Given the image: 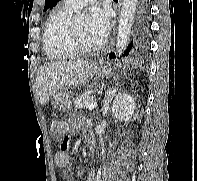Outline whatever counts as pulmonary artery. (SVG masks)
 I'll return each instance as SVG.
<instances>
[{"instance_id": "1", "label": "pulmonary artery", "mask_w": 197, "mask_h": 181, "mask_svg": "<svg viewBox=\"0 0 197 181\" xmlns=\"http://www.w3.org/2000/svg\"><path fill=\"white\" fill-rule=\"evenodd\" d=\"M94 0H65L64 6L70 10H76L86 6L87 4L91 3Z\"/></svg>"}]
</instances>
